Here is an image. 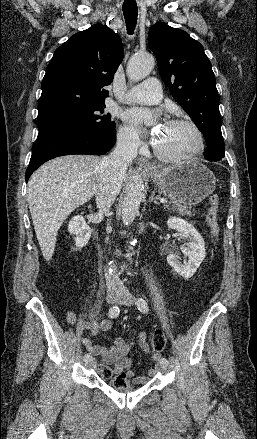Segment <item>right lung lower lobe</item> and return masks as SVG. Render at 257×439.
<instances>
[{"mask_svg":"<svg viewBox=\"0 0 257 439\" xmlns=\"http://www.w3.org/2000/svg\"><path fill=\"white\" fill-rule=\"evenodd\" d=\"M116 142V135L76 125H54L40 130L32 148V156L25 173L26 182L31 174L44 162L63 155H102Z\"/></svg>","mask_w":257,"mask_h":439,"instance_id":"98d812e1","label":"right lung lower lobe"}]
</instances>
